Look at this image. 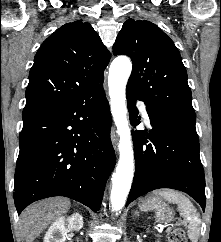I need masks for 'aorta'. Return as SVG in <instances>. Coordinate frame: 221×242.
<instances>
[{
	"label": "aorta",
	"mask_w": 221,
	"mask_h": 242,
	"mask_svg": "<svg viewBox=\"0 0 221 242\" xmlns=\"http://www.w3.org/2000/svg\"><path fill=\"white\" fill-rule=\"evenodd\" d=\"M131 71L132 63L130 59L120 56L111 63L108 76L111 113L120 137L118 146L120 157L113 174L110 195L111 206L114 211L124 207L134 174L133 145L126 106V84Z\"/></svg>",
	"instance_id": "aorta-1"
}]
</instances>
